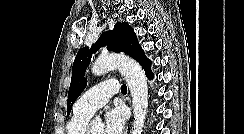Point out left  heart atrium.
I'll return each instance as SVG.
<instances>
[{
	"instance_id": "left-heart-atrium-1",
	"label": "left heart atrium",
	"mask_w": 244,
	"mask_h": 134,
	"mask_svg": "<svg viewBox=\"0 0 244 134\" xmlns=\"http://www.w3.org/2000/svg\"><path fill=\"white\" fill-rule=\"evenodd\" d=\"M126 114L120 107H115L106 112L103 124V134H124Z\"/></svg>"
}]
</instances>
